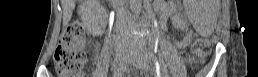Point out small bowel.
<instances>
[{"mask_svg": "<svg viewBox=\"0 0 258 77\" xmlns=\"http://www.w3.org/2000/svg\"><path fill=\"white\" fill-rule=\"evenodd\" d=\"M189 42V40L188 39H185L183 42H181V45H185V44H187Z\"/></svg>", "mask_w": 258, "mask_h": 77, "instance_id": "small-bowel-1", "label": "small bowel"}]
</instances>
